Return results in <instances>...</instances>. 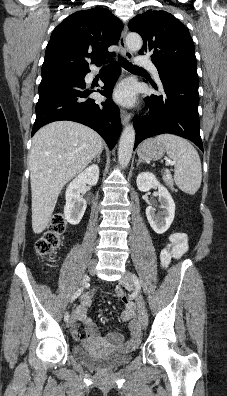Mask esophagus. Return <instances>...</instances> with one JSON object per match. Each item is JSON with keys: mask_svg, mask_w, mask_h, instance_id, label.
Returning a JSON list of instances; mask_svg holds the SVG:
<instances>
[{"mask_svg": "<svg viewBox=\"0 0 227 396\" xmlns=\"http://www.w3.org/2000/svg\"><path fill=\"white\" fill-rule=\"evenodd\" d=\"M126 35H127V25H124V28L122 30L121 37L119 40V45L123 52L124 57L128 60H132L133 54L126 46V41H125ZM120 115H121L122 124L126 125L130 120V114L127 111L122 109Z\"/></svg>", "mask_w": 227, "mask_h": 396, "instance_id": "1", "label": "esophagus"}]
</instances>
